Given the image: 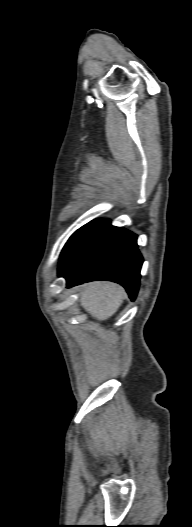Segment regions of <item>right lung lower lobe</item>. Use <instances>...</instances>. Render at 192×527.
<instances>
[{
	"mask_svg": "<svg viewBox=\"0 0 192 527\" xmlns=\"http://www.w3.org/2000/svg\"><path fill=\"white\" fill-rule=\"evenodd\" d=\"M142 263L135 234L111 226L109 220H93L65 244L58 275L66 278L67 288L94 280L117 282L134 300Z\"/></svg>",
	"mask_w": 192,
	"mask_h": 527,
	"instance_id": "right-lung-lower-lobe-1",
	"label": "right lung lower lobe"
}]
</instances>
